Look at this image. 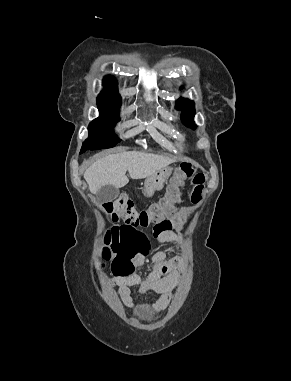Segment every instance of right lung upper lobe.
<instances>
[{
	"label": "right lung upper lobe",
	"instance_id": "1",
	"mask_svg": "<svg viewBox=\"0 0 291 381\" xmlns=\"http://www.w3.org/2000/svg\"><path fill=\"white\" fill-rule=\"evenodd\" d=\"M103 84L105 90L98 95L97 100L120 105L121 99L118 93L116 80L111 76H106Z\"/></svg>",
	"mask_w": 291,
	"mask_h": 381
}]
</instances>
